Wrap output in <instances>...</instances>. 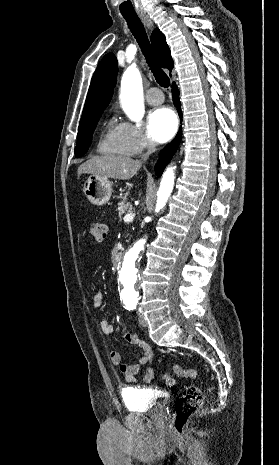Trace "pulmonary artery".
<instances>
[{"label":"pulmonary artery","instance_id":"obj_1","mask_svg":"<svg viewBox=\"0 0 279 465\" xmlns=\"http://www.w3.org/2000/svg\"><path fill=\"white\" fill-rule=\"evenodd\" d=\"M146 101L151 105H158L164 101L162 92L156 88H150L146 93Z\"/></svg>","mask_w":279,"mask_h":465}]
</instances>
